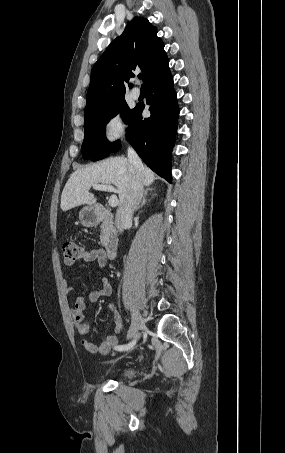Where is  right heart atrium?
<instances>
[{"instance_id":"d8ad5b80","label":"right heart atrium","mask_w":285,"mask_h":453,"mask_svg":"<svg viewBox=\"0 0 285 453\" xmlns=\"http://www.w3.org/2000/svg\"><path fill=\"white\" fill-rule=\"evenodd\" d=\"M127 130V123L120 112L111 114L105 121L103 132L106 142L113 144L120 141Z\"/></svg>"}]
</instances>
